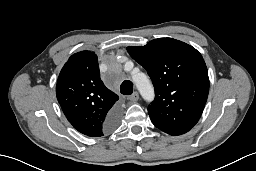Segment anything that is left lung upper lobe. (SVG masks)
I'll return each mask as SVG.
<instances>
[{"mask_svg":"<svg viewBox=\"0 0 256 171\" xmlns=\"http://www.w3.org/2000/svg\"><path fill=\"white\" fill-rule=\"evenodd\" d=\"M127 51L153 82L155 99L148 107L152 123L174 136L192 129L209 93L208 71L201 54L172 38L154 39Z\"/></svg>","mask_w":256,"mask_h":171,"instance_id":"1","label":"left lung upper lobe"}]
</instances>
